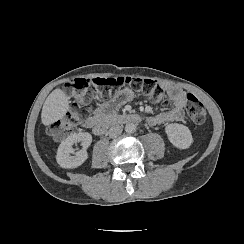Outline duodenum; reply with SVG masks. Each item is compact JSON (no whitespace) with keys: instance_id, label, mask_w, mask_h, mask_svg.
Wrapping results in <instances>:
<instances>
[{"instance_id":"obj_1","label":"duodenum","mask_w":244,"mask_h":244,"mask_svg":"<svg viewBox=\"0 0 244 244\" xmlns=\"http://www.w3.org/2000/svg\"><path fill=\"white\" fill-rule=\"evenodd\" d=\"M143 120L142 115L138 113L130 114H109L92 127L93 133L96 136L104 135L110 128L123 123H139Z\"/></svg>"}]
</instances>
